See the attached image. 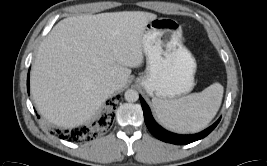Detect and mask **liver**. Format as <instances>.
Wrapping results in <instances>:
<instances>
[{"instance_id": "1", "label": "liver", "mask_w": 267, "mask_h": 166, "mask_svg": "<svg viewBox=\"0 0 267 166\" xmlns=\"http://www.w3.org/2000/svg\"><path fill=\"white\" fill-rule=\"evenodd\" d=\"M157 15L122 11L68 17L42 41L31 70V93L51 123L73 128L90 120L112 94L123 88L131 68L142 65L143 35Z\"/></svg>"}]
</instances>
